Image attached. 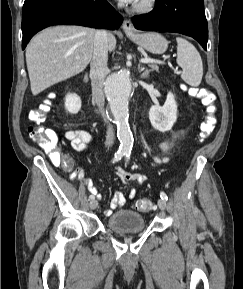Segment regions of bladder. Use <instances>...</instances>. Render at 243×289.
I'll return each mask as SVG.
<instances>
[{
  "label": "bladder",
  "mask_w": 243,
  "mask_h": 289,
  "mask_svg": "<svg viewBox=\"0 0 243 289\" xmlns=\"http://www.w3.org/2000/svg\"><path fill=\"white\" fill-rule=\"evenodd\" d=\"M109 230L116 233H128L142 231L145 226V218L133 210H120L111 214L106 221Z\"/></svg>",
  "instance_id": "bladder-1"
}]
</instances>
